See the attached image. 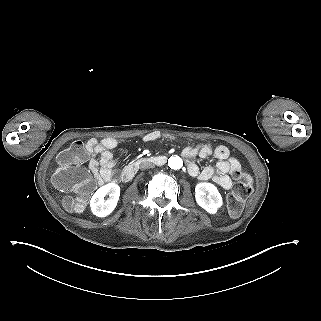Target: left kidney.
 I'll use <instances>...</instances> for the list:
<instances>
[{
    "instance_id": "5707ae66",
    "label": "left kidney",
    "mask_w": 321,
    "mask_h": 321,
    "mask_svg": "<svg viewBox=\"0 0 321 321\" xmlns=\"http://www.w3.org/2000/svg\"><path fill=\"white\" fill-rule=\"evenodd\" d=\"M196 203L207 213L214 215L223 206V199L217 187L210 182H200L195 187Z\"/></svg>"
}]
</instances>
